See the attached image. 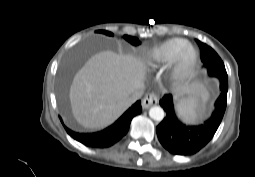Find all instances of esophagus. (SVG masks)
Masks as SVG:
<instances>
[{"instance_id": "obj_1", "label": "esophagus", "mask_w": 255, "mask_h": 177, "mask_svg": "<svg viewBox=\"0 0 255 177\" xmlns=\"http://www.w3.org/2000/svg\"><path fill=\"white\" fill-rule=\"evenodd\" d=\"M158 103V97L154 93L147 94L142 100V108L148 109L152 105Z\"/></svg>"}]
</instances>
